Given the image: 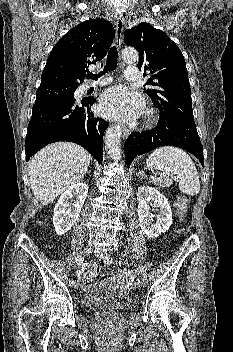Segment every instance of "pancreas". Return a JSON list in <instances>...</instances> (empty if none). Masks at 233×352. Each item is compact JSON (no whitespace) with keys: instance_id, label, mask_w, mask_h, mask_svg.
<instances>
[{"instance_id":"pancreas-1","label":"pancreas","mask_w":233,"mask_h":352,"mask_svg":"<svg viewBox=\"0 0 233 352\" xmlns=\"http://www.w3.org/2000/svg\"><path fill=\"white\" fill-rule=\"evenodd\" d=\"M154 184L155 185H159V186H161V187H169L170 185H171V182L168 180V179H157V180H155L154 181Z\"/></svg>"}]
</instances>
